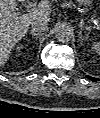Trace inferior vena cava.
<instances>
[{
  "mask_svg": "<svg viewBox=\"0 0 100 118\" xmlns=\"http://www.w3.org/2000/svg\"><path fill=\"white\" fill-rule=\"evenodd\" d=\"M31 27L35 32H44L48 28V22L45 19H35L31 22Z\"/></svg>",
  "mask_w": 100,
  "mask_h": 118,
  "instance_id": "inferior-vena-cava-1",
  "label": "inferior vena cava"
}]
</instances>
